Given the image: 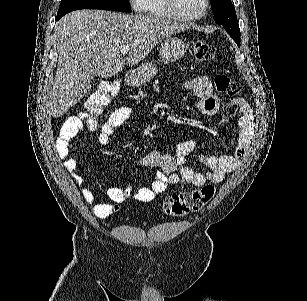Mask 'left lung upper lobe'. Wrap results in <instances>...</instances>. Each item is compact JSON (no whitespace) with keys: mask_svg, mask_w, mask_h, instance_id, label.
<instances>
[{"mask_svg":"<svg viewBox=\"0 0 307 301\" xmlns=\"http://www.w3.org/2000/svg\"><path fill=\"white\" fill-rule=\"evenodd\" d=\"M215 22L222 25L227 33L240 46V29L237 22L235 8L231 0H210Z\"/></svg>","mask_w":307,"mask_h":301,"instance_id":"obj_1","label":"left lung upper lobe"}]
</instances>
